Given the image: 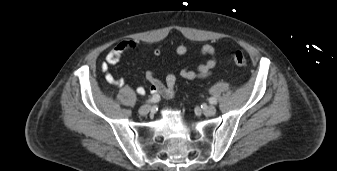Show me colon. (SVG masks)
Returning <instances> with one entry per match:
<instances>
[{
	"label": "colon",
	"instance_id": "obj_1",
	"mask_svg": "<svg viewBox=\"0 0 337 171\" xmlns=\"http://www.w3.org/2000/svg\"><path fill=\"white\" fill-rule=\"evenodd\" d=\"M231 58L237 66L244 67L247 65V59L241 51L232 52Z\"/></svg>",
	"mask_w": 337,
	"mask_h": 171
}]
</instances>
